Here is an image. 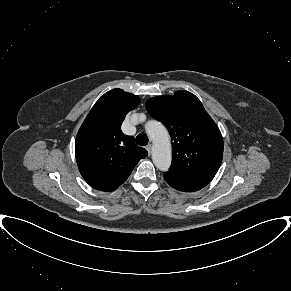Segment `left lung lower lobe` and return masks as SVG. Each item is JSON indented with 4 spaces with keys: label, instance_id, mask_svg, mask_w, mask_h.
<instances>
[{
    "label": "left lung lower lobe",
    "instance_id": "0a47b994",
    "mask_svg": "<svg viewBox=\"0 0 291 291\" xmlns=\"http://www.w3.org/2000/svg\"><path fill=\"white\" fill-rule=\"evenodd\" d=\"M163 175L164 179L171 187L184 192L200 190L209 183V181L188 178L169 171L164 172Z\"/></svg>",
    "mask_w": 291,
    "mask_h": 291
}]
</instances>
